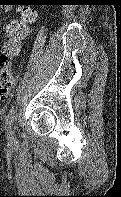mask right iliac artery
Here are the masks:
<instances>
[{
  "label": "right iliac artery",
  "mask_w": 121,
  "mask_h": 197,
  "mask_svg": "<svg viewBox=\"0 0 121 197\" xmlns=\"http://www.w3.org/2000/svg\"><path fill=\"white\" fill-rule=\"evenodd\" d=\"M15 110L12 109L7 116V125L10 127L15 118Z\"/></svg>",
  "instance_id": "82829eb1"
}]
</instances>
